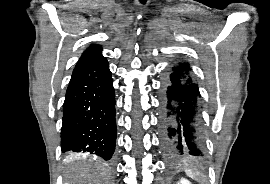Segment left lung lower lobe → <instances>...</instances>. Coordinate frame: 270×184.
Returning <instances> with one entry per match:
<instances>
[{
    "mask_svg": "<svg viewBox=\"0 0 270 184\" xmlns=\"http://www.w3.org/2000/svg\"><path fill=\"white\" fill-rule=\"evenodd\" d=\"M188 63L173 67L161 102L160 137L168 160L205 159V133L198 85Z\"/></svg>",
    "mask_w": 270,
    "mask_h": 184,
    "instance_id": "left-lung-lower-lobe-1",
    "label": "left lung lower lobe"
}]
</instances>
